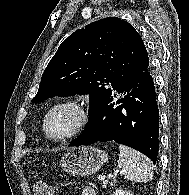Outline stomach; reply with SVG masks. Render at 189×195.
<instances>
[{
	"label": "stomach",
	"mask_w": 189,
	"mask_h": 195,
	"mask_svg": "<svg viewBox=\"0 0 189 195\" xmlns=\"http://www.w3.org/2000/svg\"><path fill=\"white\" fill-rule=\"evenodd\" d=\"M108 160L105 151L82 146L68 151L59 161L62 170L73 176H89L96 173Z\"/></svg>",
	"instance_id": "obj_1"
}]
</instances>
